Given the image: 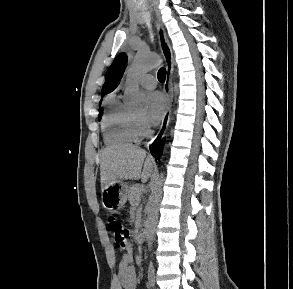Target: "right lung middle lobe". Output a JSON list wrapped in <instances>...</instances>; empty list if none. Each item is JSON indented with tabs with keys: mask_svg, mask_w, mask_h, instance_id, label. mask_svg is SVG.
Masks as SVG:
<instances>
[{
	"mask_svg": "<svg viewBox=\"0 0 293 289\" xmlns=\"http://www.w3.org/2000/svg\"><path fill=\"white\" fill-rule=\"evenodd\" d=\"M101 116H102V112L99 113V120L101 119Z\"/></svg>",
	"mask_w": 293,
	"mask_h": 289,
	"instance_id": "obj_1",
	"label": "right lung middle lobe"
}]
</instances>
